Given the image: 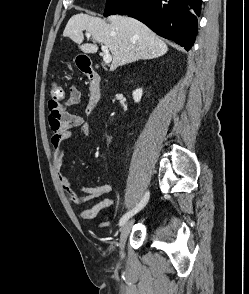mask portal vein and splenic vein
<instances>
[{
    "label": "portal vein and splenic vein",
    "instance_id": "18ae733b",
    "mask_svg": "<svg viewBox=\"0 0 249 294\" xmlns=\"http://www.w3.org/2000/svg\"><path fill=\"white\" fill-rule=\"evenodd\" d=\"M87 35L90 36L89 33H88ZM101 49H102V51H103V53H104L103 61H104L105 63H110V62L112 61V56H111V54L109 53V50H108L107 45H102Z\"/></svg>",
    "mask_w": 249,
    "mask_h": 294
}]
</instances>
